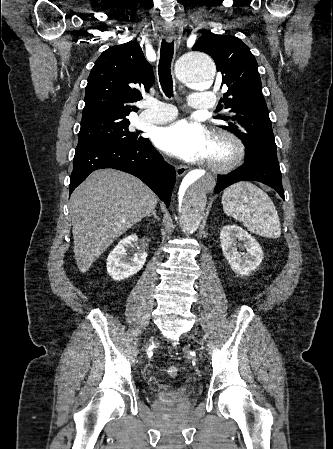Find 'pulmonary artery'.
Listing matches in <instances>:
<instances>
[{
	"mask_svg": "<svg viewBox=\"0 0 333 449\" xmlns=\"http://www.w3.org/2000/svg\"><path fill=\"white\" fill-rule=\"evenodd\" d=\"M217 98L208 91H196L191 94L189 105L194 109H211L216 105ZM146 109L140 114V121L144 123H164L177 115L176 108L160 101H148Z\"/></svg>",
	"mask_w": 333,
	"mask_h": 449,
	"instance_id": "pulmonary-artery-1",
	"label": "pulmonary artery"
}]
</instances>
